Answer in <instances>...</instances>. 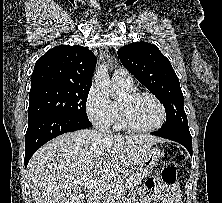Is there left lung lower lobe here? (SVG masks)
I'll return each instance as SVG.
<instances>
[{
    "instance_id": "1",
    "label": "left lung lower lobe",
    "mask_w": 222,
    "mask_h": 203,
    "mask_svg": "<svg viewBox=\"0 0 222 203\" xmlns=\"http://www.w3.org/2000/svg\"><path fill=\"white\" fill-rule=\"evenodd\" d=\"M151 134L182 144L188 150L190 155H192V137L189 132V128L160 129L152 132Z\"/></svg>"
}]
</instances>
